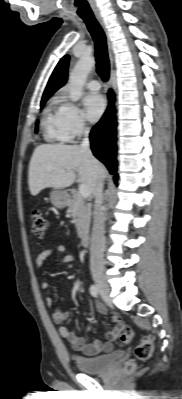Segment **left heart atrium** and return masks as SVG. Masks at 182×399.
Instances as JSON below:
<instances>
[{
	"label": "left heart atrium",
	"mask_w": 182,
	"mask_h": 399,
	"mask_svg": "<svg viewBox=\"0 0 182 399\" xmlns=\"http://www.w3.org/2000/svg\"><path fill=\"white\" fill-rule=\"evenodd\" d=\"M84 106L87 118L91 121H97L103 115L106 104L102 95L91 93L85 97Z\"/></svg>",
	"instance_id": "39dd6f15"
}]
</instances>
